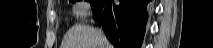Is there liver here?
Segmentation results:
<instances>
[{"instance_id": "liver-1", "label": "liver", "mask_w": 213, "mask_h": 48, "mask_svg": "<svg viewBox=\"0 0 213 48\" xmlns=\"http://www.w3.org/2000/svg\"><path fill=\"white\" fill-rule=\"evenodd\" d=\"M60 48H113L103 33L89 25L76 24L64 36Z\"/></svg>"}]
</instances>
